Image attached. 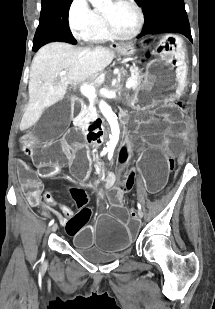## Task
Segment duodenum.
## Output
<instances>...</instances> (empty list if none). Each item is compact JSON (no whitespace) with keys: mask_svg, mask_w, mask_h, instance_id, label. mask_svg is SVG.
Wrapping results in <instances>:
<instances>
[{"mask_svg":"<svg viewBox=\"0 0 215 309\" xmlns=\"http://www.w3.org/2000/svg\"><path fill=\"white\" fill-rule=\"evenodd\" d=\"M120 118L124 123L128 121V116L125 114L120 115ZM88 127L89 128L86 134V141L88 145L93 148L100 146L104 142L106 134L104 120L100 117H96L91 120Z\"/></svg>","mask_w":215,"mask_h":309,"instance_id":"duodenum-1","label":"duodenum"}]
</instances>
